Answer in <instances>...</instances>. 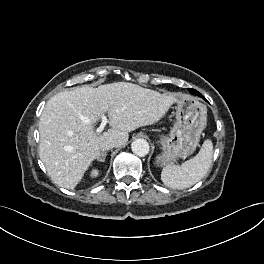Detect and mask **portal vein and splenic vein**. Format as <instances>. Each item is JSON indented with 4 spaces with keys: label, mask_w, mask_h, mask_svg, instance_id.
I'll return each instance as SVG.
<instances>
[{
    "label": "portal vein and splenic vein",
    "mask_w": 264,
    "mask_h": 264,
    "mask_svg": "<svg viewBox=\"0 0 264 264\" xmlns=\"http://www.w3.org/2000/svg\"><path fill=\"white\" fill-rule=\"evenodd\" d=\"M101 119H102L101 125L96 130V132H98V133L102 132V130L104 129L106 123H108V120H107L106 116L103 113L101 114Z\"/></svg>",
    "instance_id": "obj_1"
}]
</instances>
